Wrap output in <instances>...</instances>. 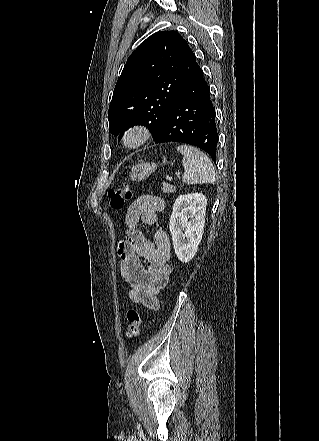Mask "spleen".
I'll list each match as a JSON object with an SVG mask.
<instances>
[{
    "label": "spleen",
    "mask_w": 319,
    "mask_h": 441,
    "mask_svg": "<svg viewBox=\"0 0 319 441\" xmlns=\"http://www.w3.org/2000/svg\"><path fill=\"white\" fill-rule=\"evenodd\" d=\"M182 155V164L185 172L183 175V182L186 184H214L216 174L208 156L201 150L191 145H179L177 147Z\"/></svg>",
    "instance_id": "obj_1"
}]
</instances>
